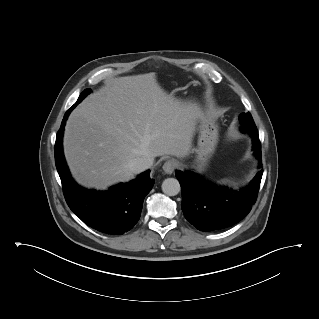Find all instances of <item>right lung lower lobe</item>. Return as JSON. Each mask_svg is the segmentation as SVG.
<instances>
[{
	"label": "right lung lower lobe",
	"instance_id": "right-lung-lower-lobe-1",
	"mask_svg": "<svg viewBox=\"0 0 319 319\" xmlns=\"http://www.w3.org/2000/svg\"><path fill=\"white\" fill-rule=\"evenodd\" d=\"M77 104L65 113L55 143V163L66 202L88 226L106 234H124L138 222L144 198L152 189L154 180L149 176L150 171H146L135 180L118 184L109 191L97 192L79 187L70 176L62 149L63 128Z\"/></svg>",
	"mask_w": 319,
	"mask_h": 319
}]
</instances>
